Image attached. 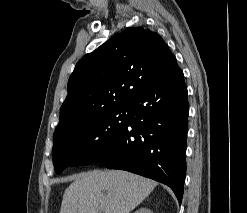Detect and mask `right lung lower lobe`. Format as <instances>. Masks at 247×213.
Masks as SVG:
<instances>
[{
	"instance_id": "right-lung-lower-lobe-1",
	"label": "right lung lower lobe",
	"mask_w": 247,
	"mask_h": 213,
	"mask_svg": "<svg viewBox=\"0 0 247 213\" xmlns=\"http://www.w3.org/2000/svg\"><path fill=\"white\" fill-rule=\"evenodd\" d=\"M129 103L128 122L97 162L164 183L181 202L189 113L182 70L142 90Z\"/></svg>"
}]
</instances>
